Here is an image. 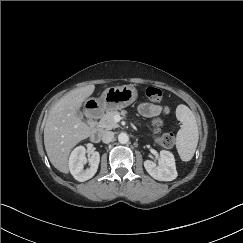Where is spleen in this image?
I'll return each instance as SVG.
<instances>
[{"mask_svg":"<svg viewBox=\"0 0 243 243\" xmlns=\"http://www.w3.org/2000/svg\"><path fill=\"white\" fill-rule=\"evenodd\" d=\"M176 117L182 124L176 136V148L182 161H190L199 139L196 119L193 112L183 104L177 106Z\"/></svg>","mask_w":243,"mask_h":243,"instance_id":"3e777b00","label":"spleen"}]
</instances>
